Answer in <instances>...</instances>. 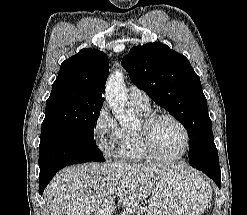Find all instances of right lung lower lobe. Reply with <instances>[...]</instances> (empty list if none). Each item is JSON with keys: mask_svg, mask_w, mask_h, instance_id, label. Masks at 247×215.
<instances>
[{"mask_svg": "<svg viewBox=\"0 0 247 215\" xmlns=\"http://www.w3.org/2000/svg\"><path fill=\"white\" fill-rule=\"evenodd\" d=\"M90 161H105L95 142L64 133L42 140L39 145V194H43L49 181L66 165Z\"/></svg>", "mask_w": 247, "mask_h": 215, "instance_id": "obj_1", "label": "right lung lower lobe"}]
</instances>
